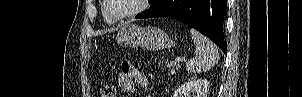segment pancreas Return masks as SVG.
Here are the masks:
<instances>
[{"instance_id":"obj_1","label":"pancreas","mask_w":302,"mask_h":97,"mask_svg":"<svg viewBox=\"0 0 302 97\" xmlns=\"http://www.w3.org/2000/svg\"><path fill=\"white\" fill-rule=\"evenodd\" d=\"M165 65L167 66L169 71H175L178 70L179 68L176 66V63L174 62H166Z\"/></svg>"}]
</instances>
